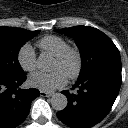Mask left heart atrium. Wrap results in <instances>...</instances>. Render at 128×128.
Masks as SVG:
<instances>
[{
  "instance_id": "obj_1",
  "label": "left heart atrium",
  "mask_w": 128,
  "mask_h": 128,
  "mask_svg": "<svg viewBox=\"0 0 128 128\" xmlns=\"http://www.w3.org/2000/svg\"><path fill=\"white\" fill-rule=\"evenodd\" d=\"M67 76L60 70L52 73L36 72L29 77V84L42 91L50 92L65 85Z\"/></svg>"
}]
</instances>
